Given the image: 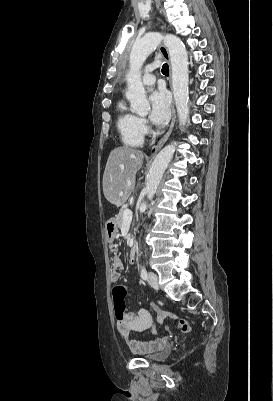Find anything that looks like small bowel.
Here are the masks:
<instances>
[{"label":"small bowel","mask_w":273,"mask_h":401,"mask_svg":"<svg viewBox=\"0 0 273 401\" xmlns=\"http://www.w3.org/2000/svg\"><path fill=\"white\" fill-rule=\"evenodd\" d=\"M123 266V260L120 256H114L112 259V269L110 272V280L116 283L120 280L119 269ZM153 311L157 312L156 316L160 318H174V311H160L159 305L153 306ZM160 311V312H159ZM159 324L163 323L162 319L158 320ZM174 327L177 328V333L189 334L191 329L189 323L185 318H178L174 320ZM116 329L120 336L126 340L127 344L132 345L135 342H140V339H135L131 336L133 332L151 331L157 333V328L153 324L152 316L148 310L141 308L136 314H127L124 322H116ZM168 338L162 337L156 340L144 341L133 345L136 351L147 354H153L162 351L167 347Z\"/></svg>","instance_id":"small-bowel-1"}]
</instances>
